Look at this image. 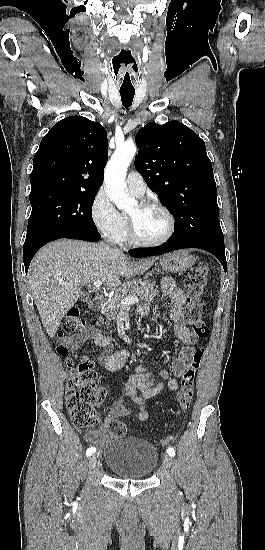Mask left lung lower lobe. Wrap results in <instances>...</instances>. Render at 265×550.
<instances>
[{
  "instance_id": "1",
  "label": "left lung lower lobe",
  "mask_w": 265,
  "mask_h": 550,
  "mask_svg": "<svg viewBox=\"0 0 265 550\" xmlns=\"http://www.w3.org/2000/svg\"><path fill=\"white\" fill-rule=\"evenodd\" d=\"M183 248H199L206 250L216 256L221 262L224 271L226 272V257H225V248H219L209 243L198 242V241H181V242H170L167 241L165 245L155 247V248H140L130 251L132 257H147L161 255L168 253L174 250L183 249Z\"/></svg>"
}]
</instances>
